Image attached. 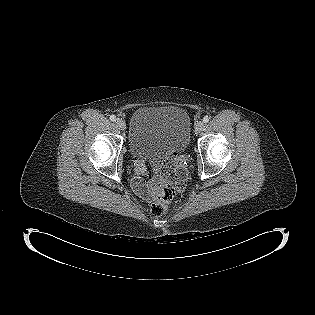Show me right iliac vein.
<instances>
[{"label":"right iliac vein","mask_w":315,"mask_h":315,"mask_svg":"<svg viewBox=\"0 0 315 315\" xmlns=\"http://www.w3.org/2000/svg\"><path fill=\"white\" fill-rule=\"evenodd\" d=\"M115 124H116L117 128L120 129V130H125L126 129V123L123 120H121V119H117L115 121Z\"/></svg>","instance_id":"obj_1"}]
</instances>
